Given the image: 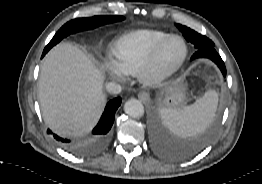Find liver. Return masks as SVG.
<instances>
[{"label":"liver","mask_w":262,"mask_h":184,"mask_svg":"<svg viewBox=\"0 0 262 184\" xmlns=\"http://www.w3.org/2000/svg\"><path fill=\"white\" fill-rule=\"evenodd\" d=\"M103 79L92 60L72 44L60 43L51 49L42 64L38 85L46 124L62 136L89 132L106 104Z\"/></svg>","instance_id":"6515ba94"}]
</instances>
